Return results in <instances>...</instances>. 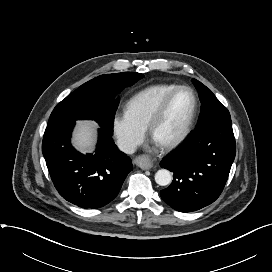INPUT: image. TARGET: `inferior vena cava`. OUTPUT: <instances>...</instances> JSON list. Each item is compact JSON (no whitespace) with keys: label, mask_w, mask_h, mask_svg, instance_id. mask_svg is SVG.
I'll list each match as a JSON object with an SVG mask.
<instances>
[{"label":"inferior vena cava","mask_w":272,"mask_h":272,"mask_svg":"<svg viewBox=\"0 0 272 272\" xmlns=\"http://www.w3.org/2000/svg\"><path fill=\"white\" fill-rule=\"evenodd\" d=\"M118 147L122 152L132 154L136 151L137 144L131 141H120L118 142Z\"/></svg>","instance_id":"1"}]
</instances>
